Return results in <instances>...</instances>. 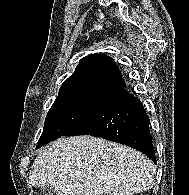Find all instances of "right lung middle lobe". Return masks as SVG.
<instances>
[{
  "label": "right lung middle lobe",
  "mask_w": 189,
  "mask_h": 195,
  "mask_svg": "<svg viewBox=\"0 0 189 195\" xmlns=\"http://www.w3.org/2000/svg\"><path fill=\"white\" fill-rule=\"evenodd\" d=\"M107 96L88 90L59 93L47 114L36 149L77 128Z\"/></svg>",
  "instance_id": "dd1d6c3e"
}]
</instances>
